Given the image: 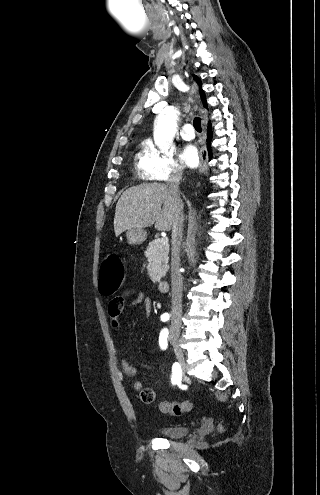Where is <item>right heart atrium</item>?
Wrapping results in <instances>:
<instances>
[{
  "label": "right heart atrium",
  "instance_id": "1",
  "mask_svg": "<svg viewBox=\"0 0 320 495\" xmlns=\"http://www.w3.org/2000/svg\"><path fill=\"white\" fill-rule=\"evenodd\" d=\"M143 168L145 177L154 181H167L179 177L183 172V167L172 151L162 152L152 146L145 153Z\"/></svg>",
  "mask_w": 320,
  "mask_h": 495
}]
</instances>
